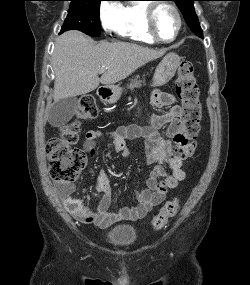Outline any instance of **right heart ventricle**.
Here are the masks:
<instances>
[{
    "mask_svg": "<svg viewBox=\"0 0 250 285\" xmlns=\"http://www.w3.org/2000/svg\"><path fill=\"white\" fill-rule=\"evenodd\" d=\"M148 5L147 2L137 1L122 6L120 25L117 30L119 36L143 44L155 43L146 30Z\"/></svg>",
    "mask_w": 250,
    "mask_h": 285,
    "instance_id": "obj_1",
    "label": "right heart ventricle"
}]
</instances>
